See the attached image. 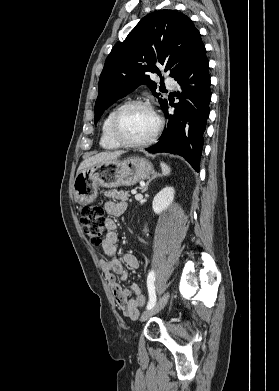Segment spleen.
Returning <instances> with one entry per match:
<instances>
[{
  "label": "spleen",
  "mask_w": 279,
  "mask_h": 391,
  "mask_svg": "<svg viewBox=\"0 0 279 391\" xmlns=\"http://www.w3.org/2000/svg\"><path fill=\"white\" fill-rule=\"evenodd\" d=\"M160 166H161L163 175L167 176L170 174L171 169L167 164H165L164 162H161Z\"/></svg>",
  "instance_id": "1"
}]
</instances>
